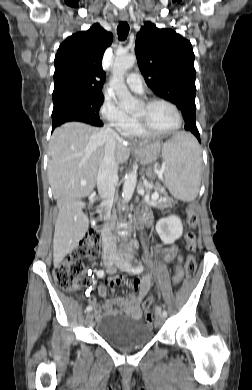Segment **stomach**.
<instances>
[{
    "label": "stomach",
    "mask_w": 252,
    "mask_h": 390,
    "mask_svg": "<svg viewBox=\"0 0 252 390\" xmlns=\"http://www.w3.org/2000/svg\"><path fill=\"white\" fill-rule=\"evenodd\" d=\"M134 152L142 164H150L157 160L160 153V146L157 143L139 146L134 149Z\"/></svg>",
    "instance_id": "1"
}]
</instances>
